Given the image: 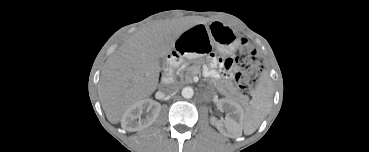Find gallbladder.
Listing matches in <instances>:
<instances>
[{
	"instance_id": "bac80fb5",
	"label": "gallbladder",
	"mask_w": 369,
	"mask_h": 152,
	"mask_svg": "<svg viewBox=\"0 0 369 152\" xmlns=\"http://www.w3.org/2000/svg\"><path fill=\"white\" fill-rule=\"evenodd\" d=\"M159 62L162 64V62H163V59H159Z\"/></svg>"
}]
</instances>
